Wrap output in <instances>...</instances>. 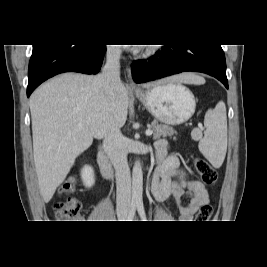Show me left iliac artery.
Here are the masks:
<instances>
[{
  "instance_id": "left-iliac-artery-1",
  "label": "left iliac artery",
  "mask_w": 267,
  "mask_h": 267,
  "mask_svg": "<svg viewBox=\"0 0 267 267\" xmlns=\"http://www.w3.org/2000/svg\"><path fill=\"white\" fill-rule=\"evenodd\" d=\"M137 209H138V213H139L141 219H142L143 221H146V214H145L144 206H143V203H142V202H139V203L137 204Z\"/></svg>"
}]
</instances>
